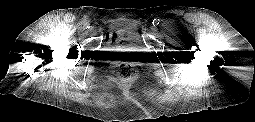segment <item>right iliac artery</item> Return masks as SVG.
Masks as SVG:
<instances>
[{
	"mask_svg": "<svg viewBox=\"0 0 255 122\" xmlns=\"http://www.w3.org/2000/svg\"><path fill=\"white\" fill-rule=\"evenodd\" d=\"M84 26H85V28H87V29L90 28V26H89L88 23H85Z\"/></svg>",
	"mask_w": 255,
	"mask_h": 122,
	"instance_id": "1",
	"label": "right iliac artery"
}]
</instances>
